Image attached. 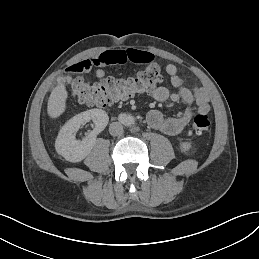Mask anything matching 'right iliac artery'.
Masks as SVG:
<instances>
[{
	"instance_id": "82829eb1",
	"label": "right iliac artery",
	"mask_w": 259,
	"mask_h": 259,
	"mask_svg": "<svg viewBox=\"0 0 259 259\" xmlns=\"http://www.w3.org/2000/svg\"><path fill=\"white\" fill-rule=\"evenodd\" d=\"M119 121L121 122H125L126 121V116L124 114H120L119 117H118Z\"/></svg>"
}]
</instances>
